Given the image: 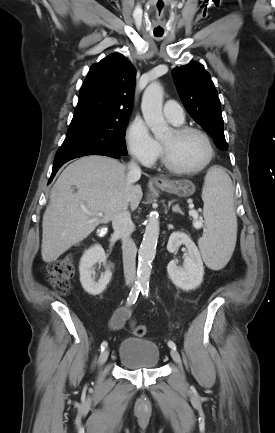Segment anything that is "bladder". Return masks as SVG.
<instances>
[{
	"mask_svg": "<svg viewBox=\"0 0 275 433\" xmlns=\"http://www.w3.org/2000/svg\"><path fill=\"white\" fill-rule=\"evenodd\" d=\"M159 359V347L147 339L128 337L119 346L118 361L130 369L156 368Z\"/></svg>",
	"mask_w": 275,
	"mask_h": 433,
	"instance_id": "bladder-1",
	"label": "bladder"
}]
</instances>
